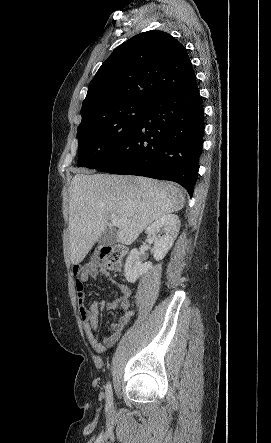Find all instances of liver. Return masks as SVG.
<instances>
[{
    "label": "liver",
    "mask_w": 271,
    "mask_h": 443,
    "mask_svg": "<svg viewBox=\"0 0 271 443\" xmlns=\"http://www.w3.org/2000/svg\"><path fill=\"white\" fill-rule=\"evenodd\" d=\"M185 202L182 190L140 176H86L78 172L70 184L69 249L71 263H80L106 231L111 214L119 223L117 241L131 245L139 233Z\"/></svg>",
    "instance_id": "obj_1"
}]
</instances>
